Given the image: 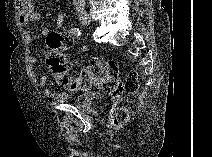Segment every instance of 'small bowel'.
Returning a JSON list of instances; mask_svg holds the SVG:
<instances>
[{"mask_svg":"<svg viewBox=\"0 0 212 157\" xmlns=\"http://www.w3.org/2000/svg\"><path fill=\"white\" fill-rule=\"evenodd\" d=\"M40 19L39 13L35 10L34 4L31 1H22L19 3V14L18 21L19 24L25 28L24 37L27 43H31L33 40L31 32L28 30L30 23L37 22ZM55 24L58 28H61L64 25V15L59 13L56 17ZM50 28L44 27L42 29V35L44 37L50 34ZM80 52H87V46H81L78 48ZM37 61L35 56H31L29 62L34 64ZM48 78L46 75L42 76L38 81V86L43 90L44 97L52 105L64 102L67 99V95L56 94L47 87Z\"/></svg>","mask_w":212,"mask_h":157,"instance_id":"c3829d8e","label":"small bowel"}]
</instances>
